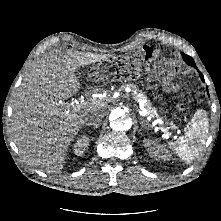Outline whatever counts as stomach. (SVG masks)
I'll list each match as a JSON object with an SVG mask.
<instances>
[{
	"label": "stomach",
	"mask_w": 221,
	"mask_h": 221,
	"mask_svg": "<svg viewBox=\"0 0 221 221\" xmlns=\"http://www.w3.org/2000/svg\"><path fill=\"white\" fill-rule=\"evenodd\" d=\"M144 86L150 92H159L165 86V77L159 71H150L144 77Z\"/></svg>",
	"instance_id": "0dacf381"
}]
</instances>
